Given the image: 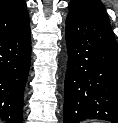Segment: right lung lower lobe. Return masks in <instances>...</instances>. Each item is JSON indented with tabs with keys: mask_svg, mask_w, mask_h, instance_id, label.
Returning <instances> with one entry per match:
<instances>
[{
	"mask_svg": "<svg viewBox=\"0 0 118 123\" xmlns=\"http://www.w3.org/2000/svg\"><path fill=\"white\" fill-rule=\"evenodd\" d=\"M31 62L30 27L0 37V118L22 123L23 92Z\"/></svg>",
	"mask_w": 118,
	"mask_h": 123,
	"instance_id": "1",
	"label": "right lung lower lobe"
}]
</instances>
